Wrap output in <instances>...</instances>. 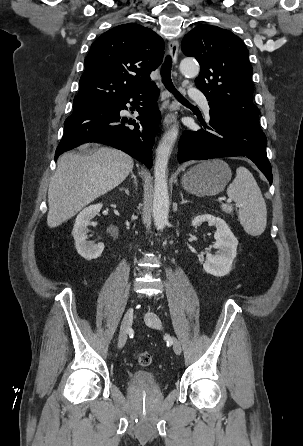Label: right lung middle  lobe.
<instances>
[{
    "label": "right lung middle lobe",
    "mask_w": 303,
    "mask_h": 446,
    "mask_svg": "<svg viewBox=\"0 0 303 446\" xmlns=\"http://www.w3.org/2000/svg\"><path fill=\"white\" fill-rule=\"evenodd\" d=\"M73 103H74L73 112L93 107V106H89L90 105L89 101L79 99V98H75Z\"/></svg>",
    "instance_id": "dd1d6c3e"
}]
</instances>
